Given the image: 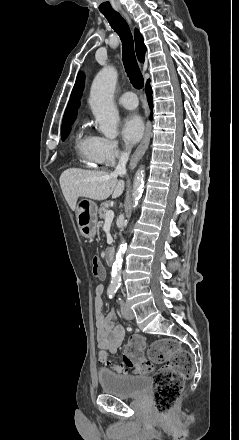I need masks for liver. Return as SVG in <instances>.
Listing matches in <instances>:
<instances>
[{"label": "liver", "instance_id": "1", "mask_svg": "<svg viewBox=\"0 0 239 440\" xmlns=\"http://www.w3.org/2000/svg\"><path fill=\"white\" fill-rule=\"evenodd\" d=\"M60 186L67 204L75 212L78 198L107 200L111 194L112 198H119L124 192L125 182L117 180L113 172L109 174V172L69 168L61 174Z\"/></svg>", "mask_w": 239, "mask_h": 440}]
</instances>
